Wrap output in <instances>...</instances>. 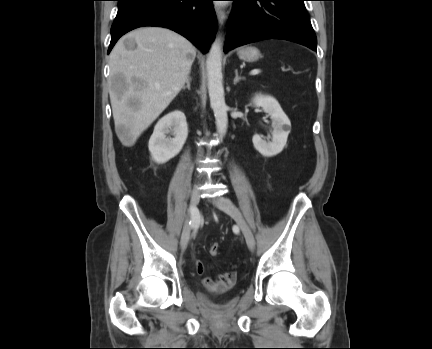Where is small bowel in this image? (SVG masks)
Instances as JSON below:
<instances>
[{
    "instance_id": "1",
    "label": "small bowel",
    "mask_w": 432,
    "mask_h": 349,
    "mask_svg": "<svg viewBox=\"0 0 432 349\" xmlns=\"http://www.w3.org/2000/svg\"><path fill=\"white\" fill-rule=\"evenodd\" d=\"M198 273L203 272V267L200 263H197ZM236 280V273L229 271L221 273L215 277H205L203 279V285L210 291H222L232 286Z\"/></svg>"
}]
</instances>
